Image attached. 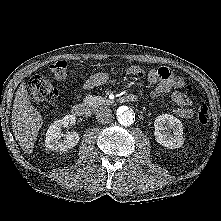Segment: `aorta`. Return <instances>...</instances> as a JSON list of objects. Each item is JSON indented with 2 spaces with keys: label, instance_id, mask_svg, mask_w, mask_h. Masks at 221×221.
I'll use <instances>...</instances> for the list:
<instances>
[{
  "label": "aorta",
  "instance_id": "obj_1",
  "mask_svg": "<svg viewBox=\"0 0 221 221\" xmlns=\"http://www.w3.org/2000/svg\"><path fill=\"white\" fill-rule=\"evenodd\" d=\"M117 120L122 126H130L135 121V113L132 109L120 107L117 110Z\"/></svg>",
  "mask_w": 221,
  "mask_h": 221
}]
</instances>
